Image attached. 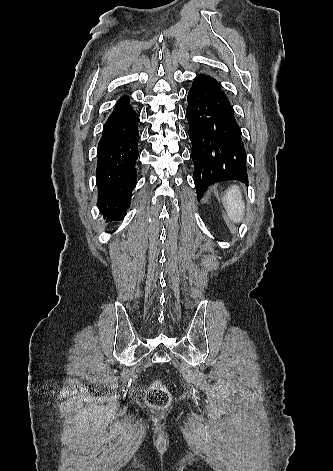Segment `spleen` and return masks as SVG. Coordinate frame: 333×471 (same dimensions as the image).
Wrapping results in <instances>:
<instances>
[{
    "label": "spleen",
    "mask_w": 333,
    "mask_h": 471,
    "mask_svg": "<svg viewBox=\"0 0 333 471\" xmlns=\"http://www.w3.org/2000/svg\"><path fill=\"white\" fill-rule=\"evenodd\" d=\"M222 203L232 222L239 223L243 220L245 204L239 187L231 186L222 198Z\"/></svg>",
    "instance_id": "1"
}]
</instances>
